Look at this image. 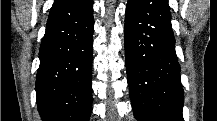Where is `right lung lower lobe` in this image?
<instances>
[{
  "label": "right lung lower lobe",
  "instance_id": "1",
  "mask_svg": "<svg viewBox=\"0 0 217 121\" xmlns=\"http://www.w3.org/2000/svg\"><path fill=\"white\" fill-rule=\"evenodd\" d=\"M92 0H55L39 51L37 105L43 121H88L91 114Z\"/></svg>",
  "mask_w": 217,
  "mask_h": 121
}]
</instances>
